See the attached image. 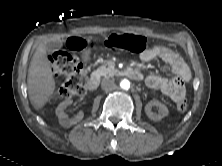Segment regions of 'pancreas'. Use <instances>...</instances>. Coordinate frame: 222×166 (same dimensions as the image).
Here are the masks:
<instances>
[{
    "label": "pancreas",
    "instance_id": "1",
    "mask_svg": "<svg viewBox=\"0 0 222 166\" xmlns=\"http://www.w3.org/2000/svg\"><path fill=\"white\" fill-rule=\"evenodd\" d=\"M98 75L109 78L116 73V70L110 67L101 66L95 71Z\"/></svg>",
    "mask_w": 222,
    "mask_h": 166
}]
</instances>
